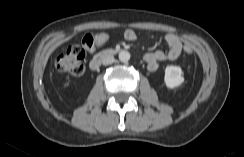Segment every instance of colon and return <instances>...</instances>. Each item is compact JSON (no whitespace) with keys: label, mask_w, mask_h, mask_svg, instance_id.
Here are the masks:
<instances>
[{"label":"colon","mask_w":244,"mask_h":157,"mask_svg":"<svg viewBox=\"0 0 244 157\" xmlns=\"http://www.w3.org/2000/svg\"><path fill=\"white\" fill-rule=\"evenodd\" d=\"M109 40V34L101 32L98 34H86L82 37L79 44L70 46L64 53L56 59L55 65L58 71L72 76H80L84 72L83 61L86 51L95 50ZM184 52L191 54L193 49L191 45L184 46Z\"/></svg>","instance_id":"5ec220e1"}]
</instances>
